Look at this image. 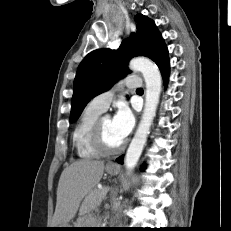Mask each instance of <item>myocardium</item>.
<instances>
[{"instance_id": "obj_1", "label": "myocardium", "mask_w": 231, "mask_h": 231, "mask_svg": "<svg viewBox=\"0 0 231 231\" xmlns=\"http://www.w3.org/2000/svg\"><path fill=\"white\" fill-rule=\"evenodd\" d=\"M104 118H98L96 121L92 133H91V141L94 148L104 155H112L120 152L125 147V141H123L120 145L116 147H109L105 144L103 138V130H102V121Z\"/></svg>"}]
</instances>
